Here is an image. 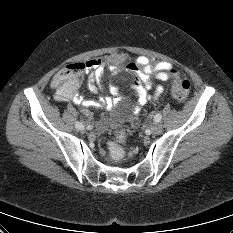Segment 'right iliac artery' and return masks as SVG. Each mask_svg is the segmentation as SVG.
Masks as SVG:
<instances>
[{
	"mask_svg": "<svg viewBox=\"0 0 233 233\" xmlns=\"http://www.w3.org/2000/svg\"><path fill=\"white\" fill-rule=\"evenodd\" d=\"M75 127H76L78 130H81V129L84 128V125H83L81 122H76Z\"/></svg>",
	"mask_w": 233,
	"mask_h": 233,
	"instance_id": "82829eb1",
	"label": "right iliac artery"
}]
</instances>
